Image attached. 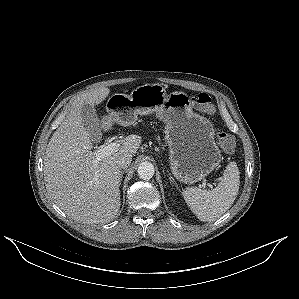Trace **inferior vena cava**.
Instances as JSON below:
<instances>
[{
	"instance_id": "inferior-vena-cava-1",
	"label": "inferior vena cava",
	"mask_w": 299,
	"mask_h": 299,
	"mask_svg": "<svg viewBox=\"0 0 299 299\" xmlns=\"http://www.w3.org/2000/svg\"><path fill=\"white\" fill-rule=\"evenodd\" d=\"M131 161H132V154L125 153L118 158L117 165L119 168L125 169L130 165Z\"/></svg>"
}]
</instances>
